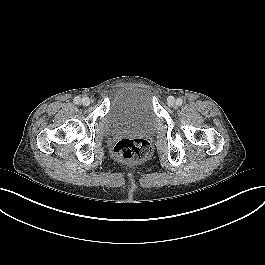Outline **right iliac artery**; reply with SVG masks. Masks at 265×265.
Masks as SVG:
<instances>
[{"mask_svg":"<svg viewBox=\"0 0 265 265\" xmlns=\"http://www.w3.org/2000/svg\"><path fill=\"white\" fill-rule=\"evenodd\" d=\"M80 102H81V98H80L79 96H76V97L74 98V103H75V104H80Z\"/></svg>","mask_w":265,"mask_h":265,"instance_id":"1","label":"right iliac artery"}]
</instances>
